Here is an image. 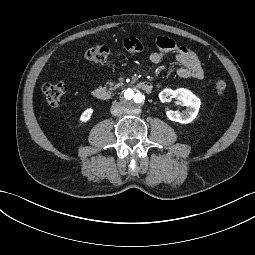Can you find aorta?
I'll return each instance as SVG.
<instances>
[{"mask_svg": "<svg viewBox=\"0 0 255 255\" xmlns=\"http://www.w3.org/2000/svg\"><path fill=\"white\" fill-rule=\"evenodd\" d=\"M123 99L127 106L131 108H140L145 101V96L136 88H128L124 92Z\"/></svg>", "mask_w": 255, "mask_h": 255, "instance_id": "1", "label": "aorta"}]
</instances>
